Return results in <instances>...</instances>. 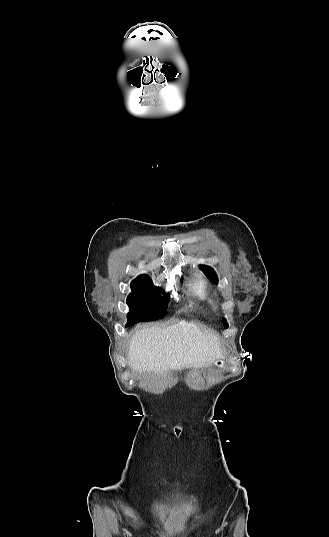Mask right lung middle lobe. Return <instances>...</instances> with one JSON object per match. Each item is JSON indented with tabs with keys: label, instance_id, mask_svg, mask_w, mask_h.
Instances as JSON below:
<instances>
[{
	"label": "right lung middle lobe",
	"instance_id": "obj_1",
	"mask_svg": "<svg viewBox=\"0 0 329 537\" xmlns=\"http://www.w3.org/2000/svg\"><path fill=\"white\" fill-rule=\"evenodd\" d=\"M132 292L127 298L130 312L127 314L126 326L142 321H152L166 313V298L162 289L155 287L147 275H140L131 283Z\"/></svg>",
	"mask_w": 329,
	"mask_h": 537
}]
</instances>
